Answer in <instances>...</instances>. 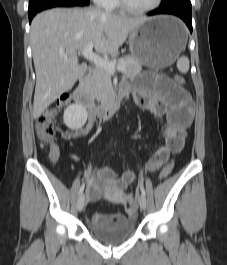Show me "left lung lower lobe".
Here are the masks:
<instances>
[{"instance_id":"obj_1","label":"left lung lower lobe","mask_w":227,"mask_h":265,"mask_svg":"<svg viewBox=\"0 0 227 265\" xmlns=\"http://www.w3.org/2000/svg\"><path fill=\"white\" fill-rule=\"evenodd\" d=\"M171 14L180 17L192 32L191 9L187 8H158L148 13V15Z\"/></svg>"}]
</instances>
